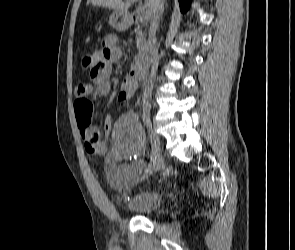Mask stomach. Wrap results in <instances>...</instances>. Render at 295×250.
<instances>
[{
	"label": "stomach",
	"instance_id": "stomach-1",
	"mask_svg": "<svg viewBox=\"0 0 295 250\" xmlns=\"http://www.w3.org/2000/svg\"><path fill=\"white\" fill-rule=\"evenodd\" d=\"M109 23L115 29L123 31L128 28L130 24V19L126 12H120L115 10L109 18Z\"/></svg>",
	"mask_w": 295,
	"mask_h": 250
}]
</instances>
